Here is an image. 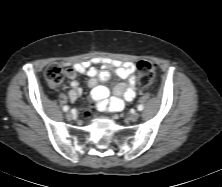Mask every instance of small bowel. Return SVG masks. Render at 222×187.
<instances>
[{
	"label": "small bowel",
	"instance_id": "small-bowel-1",
	"mask_svg": "<svg viewBox=\"0 0 222 187\" xmlns=\"http://www.w3.org/2000/svg\"><path fill=\"white\" fill-rule=\"evenodd\" d=\"M94 65H101V68ZM111 73L125 80L118 83L112 92L100 84L107 81ZM77 74H86L89 77L91 96L101 110L121 111L125 102H131L136 97V68L132 62L93 57L68 67L67 75L71 79L68 97L72 102L82 93L79 82L75 80Z\"/></svg>",
	"mask_w": 222,
	"mask_h": 187
}]
</instances>
